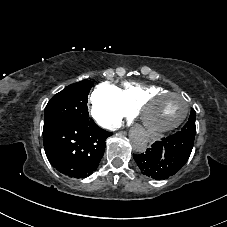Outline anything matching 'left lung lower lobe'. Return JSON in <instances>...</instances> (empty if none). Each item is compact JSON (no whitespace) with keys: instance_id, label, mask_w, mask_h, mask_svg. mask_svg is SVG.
Returning <instances> with one entry per match:
<instances>
[{"instance_id":"0a47b994","label":"left lung lower lobe","mask_w":227,"mask_h":227,"mask_svg":"<svg viewBox=\"0 0 227 227\" xmlns=\"http://www.w3.org/2000/svg\"><path fill=\"white\" fill-rule=\"evenodd\" d=\"M195 135L177 132L156 141L145 153L134 154L142 173L153 179H167L184 166L191 154Z\"/></svg>"}]
</instances>
